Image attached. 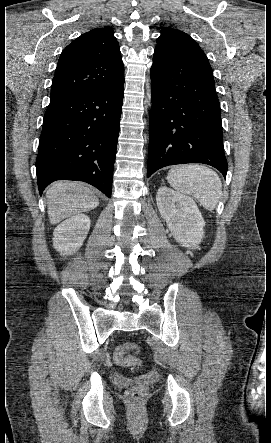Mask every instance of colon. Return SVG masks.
<instances>
[{"instance_id": "obj_1", "label": "colon", "mask_w": 271, "mask_h": 443, "mask_svg": "<svg viewBox=\"0 0 271 443\" xmlns=\"http://www.w3.org/2000/svg\"><path fill=\"white\" fill-rule=\"evenodd\" d=\"M139 350L135 343H124L115 348L113 359L117 364L123 366H136L140 360L129 353H137ZM146 387L142 384L131 387L127 391V399L130 403H139L145 396Z\"/></svg>"}]
</instances>
